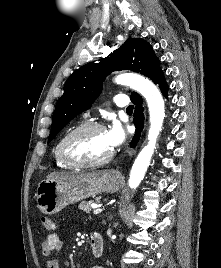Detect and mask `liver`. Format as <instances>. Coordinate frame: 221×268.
I'll return each mask as SVG.
<instances>
[{"label": "liver", "mask_w": 221, "mask_h": 268, "mask_svg": "<svg viewBox=\"0 0 221 268\" xmlns=\"http://www.w3.org/2000/svg\"><path fill=\"white\" fill-rule=\"evenodd\" d=\"M103 171H94L89 173H66V172H53L47 175V180L50 181H79L82 179H93L102 175Z\"/></svg>", "instance_id": "6515ba94"}]
</instances>
